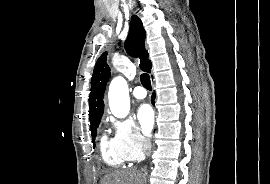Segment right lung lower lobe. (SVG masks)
Instances as JSON below:
<instances>
[{"label":"right lung lower lobe","mask_w":270,"mask_h":184,"mask_svg":"<svg viewBox=\"0 0 270 184\" xmlns=\"http://www.w3.org/2000/svg\"><path fill=\"white\" fill-rule=\"evenodd\" d=\"M155 94L152 95V103L154 104Z\"/></svg>","instance_id":"right-lung-lower-lobe-1"}]
</instances>
